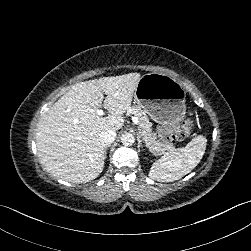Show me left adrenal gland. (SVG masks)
Wrapping results in <instances>:
<instances>
[{"label": "left adrenal gland", "instance_id": "obj_1", "mask_svg": "<svg viewBox=\"0 0 251 251\" xmlns=\"http://www.w3.org/2000/svg\"><path fill=\"white\" fill-rule=\"evenodd\" d=\"M141 137H142L141 134L138 133V134H137L138 148L142 145Z\"/></svg>", "mask_w": 251, "mask_h": 251}]
</instances>
